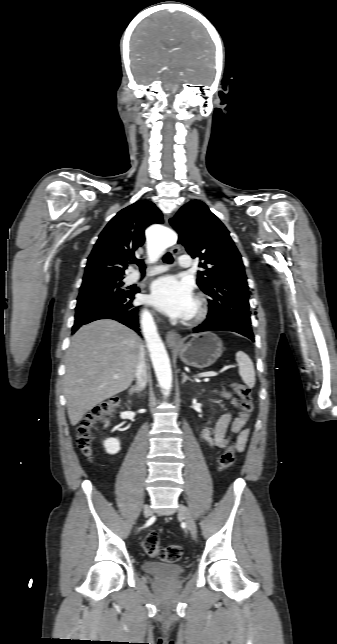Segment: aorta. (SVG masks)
<instances>
[{
    "label": "aorta",
    "instance_id": "762f6f07",
    "mask_svg": "<svg viewBox=\"0 0 337 644\" xmlns=\"http://www.w3.org/2000/svg\"><path fill=\"white\" fill-rule=\"evenodd\" d=\"M174 239L171 232L165 231L157 236L159 246L149 250V261L154 262L160 255L162 248ZM141 324L143 334L146 340L147 348L150 353L151 361L160 387L164 394L168 395L172 387V370L170 360L165 346L159 337L151 314L144 310L141 315Z\"/></svg>",
    "mask_w": 337,
    "mask_h": 644
}]
</instances>
